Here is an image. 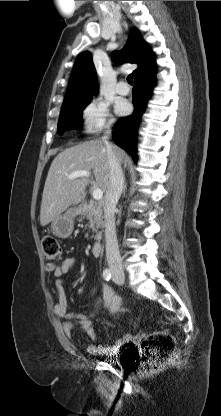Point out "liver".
Returning <instances> with one entry per match:
<instances>
[{
    "instance_id": "6515ba94",
    "label": "liver",
    "mask_w": 221,
    "mask_h": 416,
    "mask_svg": "<svg viewBox=\"0 0 221 416\" xmlns=\"http://www.w3.org/2000/svg\"><path fill=\"white\" fill-rule=\"evenodd\" d=\"M112 146L120 164L125 163L126 153L118 146ZM80 170L92 172L95 180L68 178L69 174ZM109 176L107 149L101 139L86 141L60 152L54 158L45 181L40 208L41 226L52 222L71 205L78 204L85 197L88 184H95L106 193Z\"/></svg>"
}]
</instances>
